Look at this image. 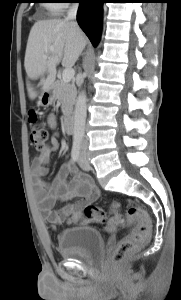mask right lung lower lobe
Wrapping results in <instances>:
<instances>
[{
	"mask_svg": "<svg viewBox=\"0 0 181 300\" xmlns=\"http://www.w3.org/2000/svg\"><path fill=\"white\" fill-rule=\"evenodd\" d=\"M77 2L80 3L77 13L78 24L96 47L101 34L102 10L105 1L77 0Z\"/></svg>",
	"mask_w": 181,
	"mask_h": 300,
	"instance_id": "obj_1",
	"label": "right lung lower lobe"
}]
</instances>
